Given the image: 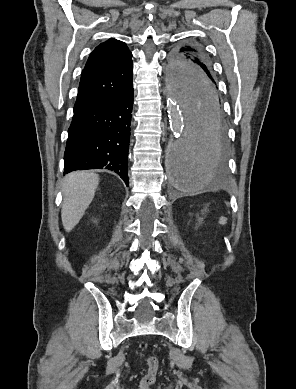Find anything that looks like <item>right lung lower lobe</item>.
<instances>
[{
  "label": "right lung lower lobe",
  "instance_id": "obj_1",
  "mask_svg": "<svg viewBox=\"0 0 296 389\" xmlns=\"http://www.w3.org/2000/svg\"><path fill=\"white\" fill-rule=\"evenodd\" d=\"M133 107L132 83L120 95L74 111L64 153V174L109 169L129 186L127 157Z\"/></svg>",
  "mask_w": 296,
  "mask_h": 389
}]
</instances>
